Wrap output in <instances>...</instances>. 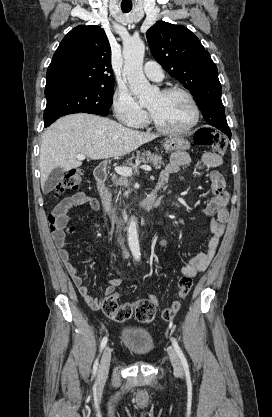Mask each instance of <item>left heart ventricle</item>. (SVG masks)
Returning <instances> with one entry per match:
<instances>
[{
    "instance_id": "left-heart-ventricle-1",
    "label": "left heart ventricle",
    "mask_w": 272,
    "mask_h": 417,
    "mask_svg": "<svg viewBox=\"0 0 272 417\" xmlns=\"http://www.w3.org/2000/svg\"><path fill=\"white\" fill-rule=\"evenodd\" d=\"M159 124L169 129L186 127L193 118V109L182 94L162 96L160 93L148 106Z\"/></svg>"
}]
</instances>
